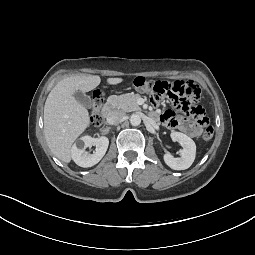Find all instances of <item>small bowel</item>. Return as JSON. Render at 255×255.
<instances>
[{"label":"small bowel","mask_w":255,"mask_h":255,"mask_svg":"<svg viewBox=\"0 0 255 255\" xmlns=\"http://www.w3.org/2000/svg\"><path fill=\"white\" fill-rule=\"evenodd\" d=\"M162 124L169 129H179L192 137H197L201 133V126L182 116H177L173 111L166 110L162 113H154Z\"/></svg>","instance_id":"c3829d8e"}]
</instances>
